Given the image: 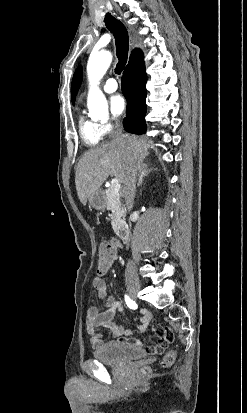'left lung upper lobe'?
<instances>
[{"label": "left lung upper lobe", "instance_id": "1", "mask_svg": "<svg viewBox=\"0 0 247 413\" xmlns=\"http://www.w3.org/2000/svg\"><path fill=\"white\" fill-rule=\"evenodd\" d=\"M81 79H82V68L79 66L73 76L72 79V87H71V99H72V104H75V98L78 92V89L81 85Z\"/></svg>", "mask_w": 247, "mask_h": 413}]
</instances>
